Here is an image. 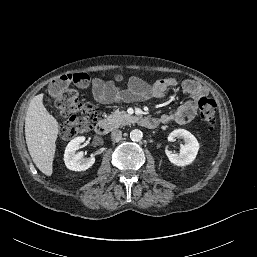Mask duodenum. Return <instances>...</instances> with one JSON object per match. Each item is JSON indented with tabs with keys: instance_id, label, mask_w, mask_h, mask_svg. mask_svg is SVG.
I'll return each instance as SVG.
<instances>
[{
	"instance_id": "410a0bca",
	"label": "duodenum",
	"mask_w": 257,
	"mask_h": 257,
	"mask_svg": "<svg viewBox=\"0 0 257 257\" xmlns=\"http://www.w3.org/2000/svg\"><path fill=\"white\" fill-rule=\"evenodd\" d=\"M140 124L145 128L154 129L158 126L159 120L152 117H145L140 120ZM110 129V124L104 119L100 120L95 126V132L98 135H105L110 131Z\"/></svg>"
}]
</instances>
